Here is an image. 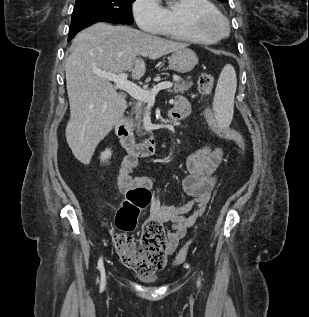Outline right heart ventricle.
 Returning <instances> with one entry per match:
<instances>
[{"mask_svg":"<svg viewBox=\"0 0 309 317\" xmlns=\"http://www.w3.org/2000/svg\"><path fill=\"white\" fill-rule=\"evenodd\" d=\"M199 7L215 8L210 0H177L173 5L163 8L165 25L160 34L176 40L201 44L213 43L212 40L196 36L186 26L185 18L188 11Z\"/></svg>","mask_w":309,"mask_h":317,"instance_id":"right-heart-ventricle-1","label":"right heart ventricle"}]
</instances>
